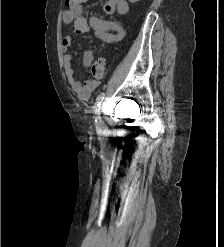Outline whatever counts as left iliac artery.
I'll use <instances>...</instances> for the list:
<instances>
[{
    "label": "left iliac artery",
    "instance_id": "left-iliac-artery-1",
    "mask_svg": "<svg viewBox=\"0 0 224 247\" xmlns=\"http://www.w3.org/2000/svg\"><path fill=\"white\" fill-rule=\"evenodd\" d=\"M104 97H105V93L102 92L96 98L95 114H97V115L95 117V124H96L97 130H101V128H100L101 118L99 116V110H100V107H101V104H102Z\"/></svg>",
    "mask_w": 224,
    "mask_h": 247
}]
</instances>
